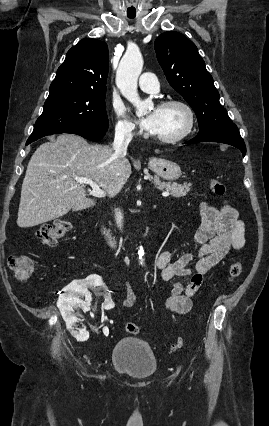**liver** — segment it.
<instances>
[{
  "label": "liver",
  "mask_w": 269,
  "mask_h": 426,
  "mask_svg": "<svg viewBox=\"0 0 269 426\" xmlns=\"http://www.w3.org/2000/svg\"><path fill=\"white\" fill-rule=\"evenodd\" d=\"M126 153L116 156L109 145L89 144L74 134H61L32 155L22 183L17 225L28 228L93 207L85 184L93 180L109 196L116 195L131 174Z\"/></svg>",
  "instance_id": "obj_1"
}]
</instances>
